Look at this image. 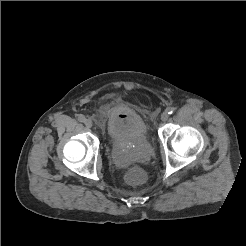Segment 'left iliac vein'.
<instances>
[{
  "instance_id": "1",
  "label": "left iliac vein",
  "mask_w": 246,
  "mask_h": 246,
  "mask_svg": "<svg viewBox=\"0 0 246 246\" xmlns=\"http://www.w3.org/2000/svg\"><path fill=\"white\" fill-rule=\"evenodd\" d=\"M168 118H169V114H168L167 111H165V112H163V113L161 114V120H162V121H167Z\"/></svg>"
}]
</instances>
